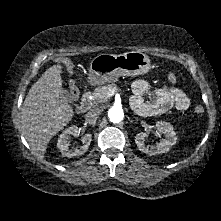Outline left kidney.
Returning <instances> with one entry per match:
<instances>
[{
  "mask_svg": "<svg viewBox=\"0 0 221 221\" xmlns=\"http://www.w3.org/2000/svg\"><path fill=\"white\" fill-rule=\"evenodd\" d=\"M156 127L160 133L165 135V138L162 139V141L157 144L156 147L151 146L149 148L145 145V138L148 136V134L145 132H141L135 137V143L137 144L139 150L148 155H156L168 152L170 148L176 144V133L170 123L158 121L156 123Z\"/></svg>",
  "mask_w": 221,
  "mask_h": 221,
  "instance_id": "1",
  "label": "left kidney"
}]
</instances>
